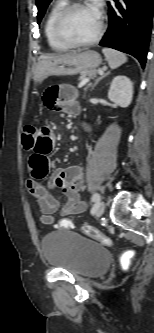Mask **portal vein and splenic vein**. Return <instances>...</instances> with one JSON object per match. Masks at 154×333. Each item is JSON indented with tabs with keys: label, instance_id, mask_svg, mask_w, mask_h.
I'll return each instance as SVG.
<instances>
[{
	"label": "portal vein and splenic vein",
	"instance_id": "portal-vein-and-splenic-vein-1",
	"mask_svg": "<svg viewBox=\"0 0 154 333\" xmlns=\"http://www.w3.org/2000/svg\"><path fill=\"white\" fill-rule=\"evenodd\" d=\"M99 75H103L104 74V71L103 70H100L99 72ZM89 80L86 79V80H83L80 84H79V87H82L84 84H86Z\"/></svg>",
	"mask_w": 154,
	"mask_h": 333
}]
</instances>
